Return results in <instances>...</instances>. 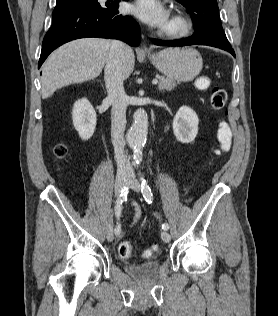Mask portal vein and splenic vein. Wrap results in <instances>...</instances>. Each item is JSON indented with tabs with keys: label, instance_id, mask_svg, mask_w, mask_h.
Segmentation results:
<instances>
[{
	"label": "portal vein and splenic vein",
	"instance_id": "obj_1",
	"mask_svg": "<svg viewBox=\"0 0 278 316\" xmlns=\"http://www.w3.org/2000/svg\"><path fill=\"white\" fill-rule=\"evenodd\" d=\"M158 83V80L157 79H154L153 81H152V84L153 85H156Z\"/></svg>",
	"mask_w": 278,
	"mask_h": 316
}]
</instances>
